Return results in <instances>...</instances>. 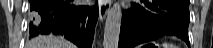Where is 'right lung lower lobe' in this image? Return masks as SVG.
I'll list each match as a JSON object with an SVG mask.
<instances>
[{
	"instance_id": "98d812e1",
	"label": "right lung lower lobe",
	"mask_w": 213,
	"mask_h": 48,
	"mask_svg": "<svg viewBox=\"0 0 213 48\" xmlns=\"http://www.w3.org/2000/svg\"><path fill=\"white\" fill-rule=\"evenodd\" d=\"M74 0H29L30 36L64 35L79 48H91L98 6H82Z\"/></svg>"
}]
</instances>
